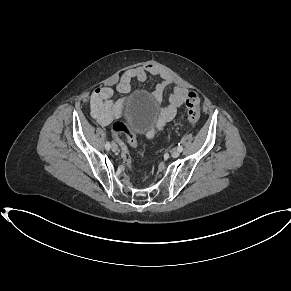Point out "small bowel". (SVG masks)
Returning <instances> with one entry per match:
<instances>
[{
	"instance_id": "1",
	"label": "small bowel",
	"mask_w": 291,
	"mask_h": 291,
	"mask_svg": "<svg viewBox=\"0 0 291 291\" xmlns=\"http://www.w3.org/2000/svg\"><path fill=\"white\" fill-rule=\"evenodd\" d=\"M158 76L156 89L153 92V100L156 103L162 101L164 90L171 84V76L155 64H146L144 66L129 69L121 76L116 89L120 93L127 92L133 80L144 82L148 76ZM114 89L108 86L96 88L90 101L91 115L94 120L102 127L108 126L114 120L118 119L124 110L125 100L117 102L112 101ZM188 91L183 87H175L169 95L168 103L162 107L157 115L154 125L146 133V137L151 139L161 131L167 122L172 121L178 113L179 108L185 103Z\"/></svg>"
}]
</instances>
